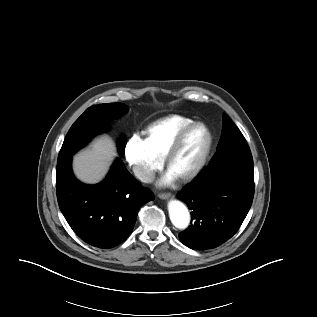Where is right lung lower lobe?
<instances>
[{
    "label": "right lung lower lobe",
    "instance_id": "right-lung-lower-lobe-1",
    "mask_svg": "<svg viewBox=\"0 0 317 317\" xmlns=\"http://www.w3.org/2000/svg\"><path fill=\"white\" fill-rule=\"evenodd\" d=\"M56 191L60 210L73 231L86 243L101 249L125 241L139 209L154 199L119 158L97 185L78 181L72 173L71 159L57 164Z\"/></svg>",
    "mask_w": 317,
    "mask_h": 317
}]
</instances>
